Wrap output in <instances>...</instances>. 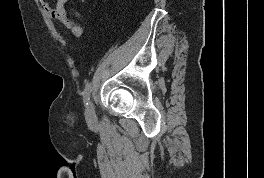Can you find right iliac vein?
<instances>
[{
    "label": "right iliac vein",
    "instance_id": "obj_1",
    "mask_svg": "<svg viewBox=\"0 0 264 178\" xmlns=\"http://www.w3.org/2000/svg\"><path fill=\"white\" fill-rule=\"evenodd\" d=\"M85 115L89 124H93L95 122V112H94L93 103L91 101H89L86 106Z\"/></svg>",
    "mask_w": 264,
    "mask_h": 178
}]
</instances>
